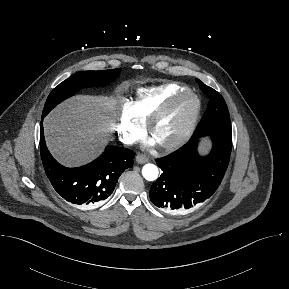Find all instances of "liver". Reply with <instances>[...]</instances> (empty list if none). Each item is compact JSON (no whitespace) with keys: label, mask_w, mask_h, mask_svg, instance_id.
Segmentation results:
<instances>
[{"label":"liver","mask_w":289,"mask_h":289,"mask_svg":"<svg viewBox=\"0 0 289 289\" xmlns=\"http://www.w3.org/2000/svg\"><path fill=\"white\" fill-rule=\"evenodd\" d=\"M117 100L114 96L77 95L44 119L51 154L67 167L80 166L99 155L110 141Z\"/></svg>","instance_id":"liver-1"}]
</instances>
